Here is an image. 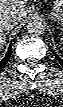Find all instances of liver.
<instances>
[{
	"mask_svg": "<svg viewBox=\"0 0 63 107\" xmlns=\"http://www.w3.org/2000/svg\"><path fill=\"white\" fill-rule=\"evenodd\" d=\"M27 0H0V16L13 14L22 22L27 16ZM5 31L0 29V43L5 40Z\"/></svg>",
	"mask_w": 63,
	"mask_h": 107,
	"instance_id": "6515ba94",
	"label": "liver"
}]
</instances>
